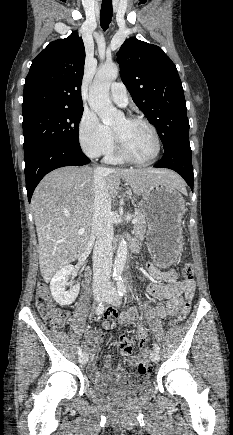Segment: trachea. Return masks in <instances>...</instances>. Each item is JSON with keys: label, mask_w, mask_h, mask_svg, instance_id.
<instances>
[{"label": "trachea", "mask_w": 233, "mask_h": 435, "mask_svg": "<svg viewBox=\"0 0 233 435\" xmlns=\"http://www.w3.org/2000/svg\"><path fill=\"white\" fill-rule=\"evenodd\" d=\"M112 13L113 8L111 0H102L100 23L103 30H107L109 28L112 19Z\"/></svg>", "instance_id": "3493384b"}]
</instances>
